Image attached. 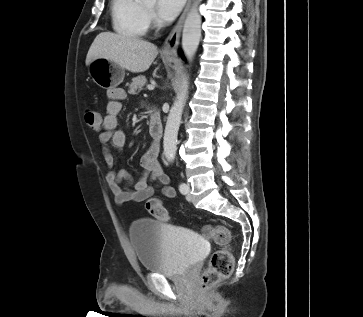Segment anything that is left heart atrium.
<instances>
[{
	"label": "left heart atrium",
	"mask_w": 363,
	"mask_h": 317,
	"mask_svg": "<svg viewBox=\"0 0 363 317\" xmlns=\"http://www.w3.org/2000/svg\"><path fill=\"white\" fill-rule=\"evenodd\" d=\"M185 0H158L157 13L165 21L173 20L180 12Z\"/></svg>",
	"instance_id": "left-heart-atrium-1"
}]
</instances>
